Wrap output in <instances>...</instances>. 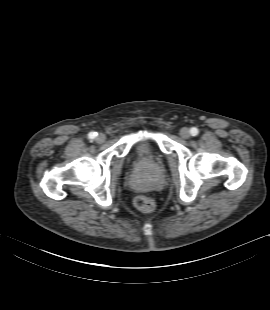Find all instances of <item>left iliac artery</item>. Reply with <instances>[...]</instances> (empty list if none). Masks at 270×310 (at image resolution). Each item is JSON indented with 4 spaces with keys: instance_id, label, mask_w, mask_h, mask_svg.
Listing matches in <instances>:
<instances>
[{
    "instance_id": "obj_1",
    "label": "left iliac artery",
    "mask_w": 270,
    "mask_h": 310,
    "mask_svg": "<svg viewBox=\"0 0 270 310\" xmlns=\"http://www.w3.org/2000/svg\"><path fill=\"white\" fill-rule=\"evenodd\" d=\"M190 132H191L192 136H196L199 133L198 129L195 127L191 128Z\"/></svg>"
}]
</instances>
